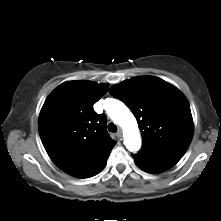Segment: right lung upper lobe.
<instances>
[{
    "instance_id": "obj_1",
    "label": "right lung upper lobe",
    "mask_w": 221,
    "mask_h": 221,
    "mask_svg": "<svg viewBox=\"0 0 221 221\" xmlns=\"http://www.w3.org/2000/svg\"><path fill=\"white\" fill-rule=\"evenodd\" d=\"M109 85L70 81L59 85L46 99L38 120L48 155L64 172L75 176L104 162L114 145L106 129V116L93 105Z\"/></svg>"
}]
</instances>
